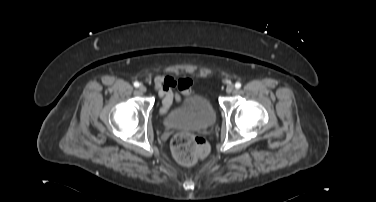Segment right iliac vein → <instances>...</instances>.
I'll use <instances>...</instances> for the list:
<instances>
[{
  "label": "right iliac vein",
  "mask_w": 376,
  "mask_h": 202,
  "mask_svg": "<svg viewBox=\"0 0 376 202\" xmlns=\"http://www.w3.org/2000/svg\"><path fill=\"white\" fill-rule=\"evenodd\" d=\"M138 90H139L140 93H145L147 89H146L145 86L140 85Z\"/></svg>",
  "instance_id": "obj_1"
}]
</instances>
